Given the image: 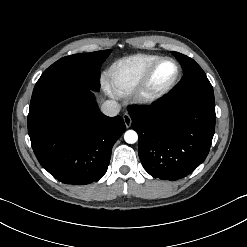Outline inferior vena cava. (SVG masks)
I'll use <instances>...</instances> for the list:
<instances>
[{
    "label": "inferior vena cava",
    "instance_id": "obj_1",
    "mask_svg": "<svg viewBox=\"0 0 247 247\" xmlns=\"http://www.w3.org/2000/svg\"><path fill=\"white\" fill-rule=\"evenodd\" d=\"M121 106L119 103L113 100H107L103 102L101 106V111L106 116H116L120 112Z\"/></svg>",
    "mask_w": 247,
    "mask_h": 247
}]
</instances>
